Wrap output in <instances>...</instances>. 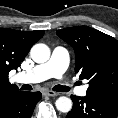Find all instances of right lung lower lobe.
Listing matches in <instances>:
<instances>
[{
    "mask_svg": "<svg viewBox=\"0 0 118 118\" xmlns=\"http://www.w3.org/2000/svg\"><path fill=\"white\" fill-rule=\"evenodd\" d=\"M40 92H21L0 101V118H30L41 99Z\"/></svg>",
    "mask_w": 118,
    "mask_h": 118,
    "instance_id": "1",
    "label": "right lung lower lobe"
}]
</instances>
